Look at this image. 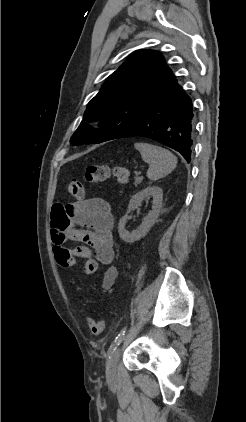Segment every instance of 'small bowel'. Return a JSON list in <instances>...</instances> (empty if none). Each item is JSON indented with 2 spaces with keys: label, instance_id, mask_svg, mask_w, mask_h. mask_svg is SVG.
<instances>
[{
  "label": "small bowel",
  "instance_id": "obj_1",
  "mask_svg": "<svg viewBox=\"0 0 246 422\" xmlns=\"http://www.w3.org/2000/svg\"><path fill=\"white\" fill-rule=\"evenodd\" d=\"M113 217L109 203L100 197L80 200L69 205L55 204L51 211V236L54 252L67 249L75 258L93 259L108 268L104 273L102 286L111 288L117 277L112 265ZM67 241L82 245L66 248Z\"/></svg>",
  "mask_w": 246,
  "mask_h": 422
}]
</instances>
